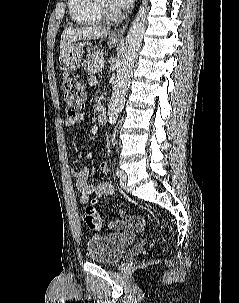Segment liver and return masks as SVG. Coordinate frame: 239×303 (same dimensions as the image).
Listing matches in <instances>:
<instances>
[{
    "label": "liver",
    "instance_id": "liver-1",
    "mask_svg": "<svg viewBox=\"0 0 239 303\" xmlns=\"http://www.w3.org/2000/svg\"><path fill=\"white\" fill-rule=\"evenodd\" d=\"M107 34L108 30L102 27L66 28L61 35L60 49L62 51L76 41L98 39Z\"/></svg>",
    "mask_w": 239,
    "mask_h": 303
}]
</instances>
